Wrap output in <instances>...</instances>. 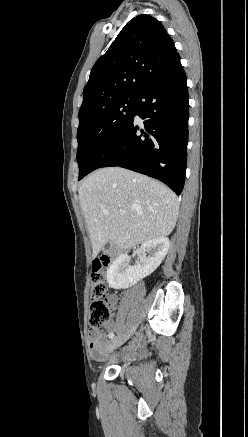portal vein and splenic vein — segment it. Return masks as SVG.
<instances>
[{"label": "portal vein and splenic vein", "instance_id": "obj_1", "mask_svg": "<svg viewBox=\"0 0 248 437\" xmlns=\"http://www.w3.org/2000/svg\"><path fill=\"white\" fill-rule=\"evenodd\" d=\"M120 214L121 215L125 214V210H120Z\"/></svg>", "mask_w": 248, "mask_h": 437}]
</instances>
